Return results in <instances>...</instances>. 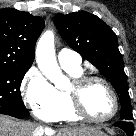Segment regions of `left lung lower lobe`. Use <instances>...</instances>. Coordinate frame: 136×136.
<instances>
[{
	"label": "left lung lower lobe",
	"instance_id": "0a47b994",
	"mask_svg": "<svg viewBox=\"0 0 136 136\" xmlns=\"http://www.w3.org/2000/svg\"><path fill=\"white\" fill-rule=\"evenodd\" d=\"M114 126L121 128L128 136L134 134V126L131 121L121 120L116 122Z\"/></svg>",
	"mask_w": 136,
	"mask_h": 136
}]
</instances>
